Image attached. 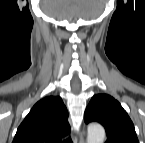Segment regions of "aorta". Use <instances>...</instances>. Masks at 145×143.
I'll use <instances>...</instances> for the list:
<instances>
[{"mask_svg": "<svg viewBox=\"0 0 145 143\" xmlns=\"http://www.w3.org/2000/svg\"><path fill=\"white\" fill-rule=\"evenodd\" d=\"M105 130L99 124H90L88 126L87 143H103Z\"/></svg>", "mask_w": 145, "mask_h": 143, "instance_id": "1", "label": "aorta"}]
</instances>
